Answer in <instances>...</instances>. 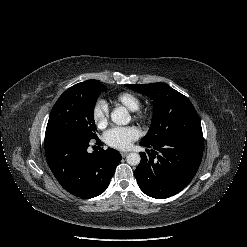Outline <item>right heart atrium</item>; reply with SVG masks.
Masks as SVG:
<instances>
[{
    "mask_svg": "<svg viewBox=\"0 0 247 247\" xmlns=\"http://www.w3.org/2000/svg\"><path fill=\"white\" fill-rule=\"evenodd\" d=\"M92 118L98 127H103L107 124L109 118V107L107 103L99 99L92 107Z\"/></svg>",
    "mask_w": 247,
    "mask_h": 247,
    "instance_id": "right-heart-atrium-1",
    "label": "right heart atrium"
}]
</instances>
